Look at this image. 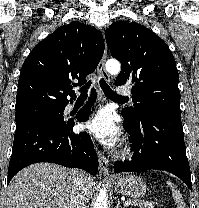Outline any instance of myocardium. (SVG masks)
<instances>
[{
	"label": "myocardium",
	"mask_w": 199,
	"mask_h": 208,
	"mask_svg": "<svg viewBox=\"0 0 199 208\" xmlns=\"http://www.w3.org/2000/svg\"><path fill=\"white\" fill-rule=\"evenodd\" d=\"M131 153H132L131 148L129 146H124L116 153V155L118 157L124 158L130 156Z\"/></svg>",
	"instance_id": "obj_1"
}]
</instances>
